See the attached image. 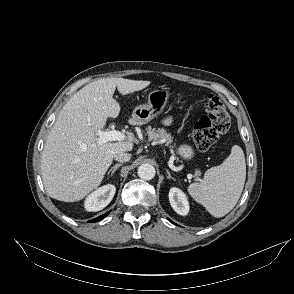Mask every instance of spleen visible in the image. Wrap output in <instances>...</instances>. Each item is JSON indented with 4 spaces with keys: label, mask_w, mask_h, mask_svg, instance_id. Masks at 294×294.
I'll use <instances>...</instances> for the list:
<instances>
[{
    "label": "spleen",
    "mask_w": 294,
    "mask_h": 294,
    "mask_svg": "<svg viewBox=\"0 0 294 294\" xmlns=\"http://www.w3.org/2000/svg\"><path fill=\"white\" fill-rule=\"evenodd\" d=\"M246 178L245 157L241 147L234 145L228 158L204 174L201 183L188 187L191 197L214 217L229 213L243 191Z\"/></svg>",
    "instance_id": "3e777b00"
}]
</instances>
